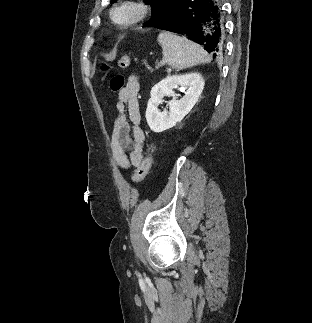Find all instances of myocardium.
<instances>
[{"label":"myocardium","instance_id":"f54148a6","mask_svg":"<svg viewBox=\"0 0 312 323\" xmlns=\"http://www.w3.org/2000/svg\"><path fill=\"white\" fill-rule=\"evenodd\" d=\"M147 1L149 0H125L124 3H118L114 10H109L108 16L122 27H129L132 23L137 25L139 21H146L147 17L156 11L154 4Z\"/></svg>","mask_w":312,"mask_h":323}]
</instances>
